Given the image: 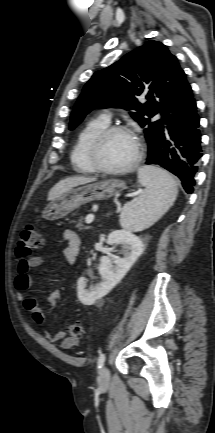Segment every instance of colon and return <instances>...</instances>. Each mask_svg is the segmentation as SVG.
I'll return each mask as SVG.
<instances>
[{
	"label": "colon",
	"instance_id": "1",
	"mask_svg": "<svg viewBox=\"0 0 215 433\" xmlns=\"http://www.w3.org/2000/svg\"><path fill=\"white\" fill-rule=\"evenodd\" d=\"M42 245L43 237L41 231L34 225L28 224L20 231L18 247L16 250L17 256L26 258L33 250L40 248ZM67 332L70 338H79L84 334V326L81 323L69 324Z\"/></svg>",
	"mask_w": 215,
	"mask_h": 433
}]
</instances>
